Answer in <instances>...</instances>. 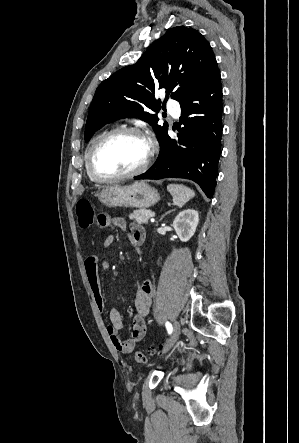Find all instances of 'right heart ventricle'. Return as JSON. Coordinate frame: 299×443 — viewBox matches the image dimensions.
<instances>
[{
	"label": "right heart ventricle",
	"instance_id": "right-heart-ventricle-1",
	"mask_svg": "<svg viewBox=\"0 0 299 443\" xmlns=\"http://www.w3.org/2000/svg\"><path fill=\"white\" fill-rule=\"evenodd\" d=\"M108 131H110L109 129L108 130H105V131H103V132H101L91 143H90V145H89V147H88V149H87V152H86V155H85V166H86V171H87V174H88V176H89V178H90V180H92V181H95V180H93L92 178H91V176L89 175V172H88V168H87V156H88V152H89V149L91 148V146L93 145V143L100 137V136H102L103 134H105L106 132H108Z\"/></svg>",
	"mask_w": 299,
	"mask_h": 443
}]
</instances>
